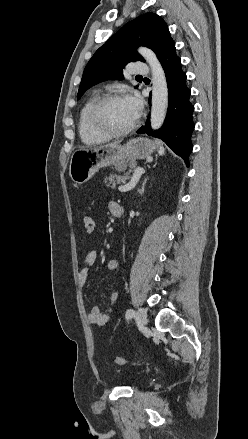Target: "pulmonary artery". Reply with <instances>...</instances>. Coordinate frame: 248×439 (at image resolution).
<instances>
[{"label": "pulmonary artery", "instance_id": "obj_1", "mask_svg": "<svg viewBox=\"0 0 248 439\" xmlns=\"http://www.w3.org/2000/svg\"><path fill=\"white\" fill-rule=\"evenodd\" d=\"M133 74H136L138 76L147 75L149 74V68L148 66L143 62H134L133 63Z\"/></svg>", "mask_w": 248, "mask_h": 439}]
</instances>
